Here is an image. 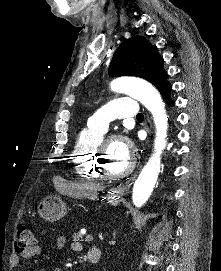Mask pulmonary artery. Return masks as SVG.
I'll return each mask as SVG.
<instances>
[{
	"instance_id": "pulmonary-artery-1",
	"label": "pulmonary artery",
	"mask_w": 221,
	"mask_h": 271,
	"mask_svg": "<svg viewBox=\"0 0 221 271\" xmlns=\"http://www.w3.org/2000/svg\"><path fill=\"white\" fill-rule=\"evenodd\" d=\"M133 98H114L108 102V107H101V112H96V117H91V122H86V127H109V122H119V117H138V108ZM104 128H81L79 138H99V133H105Z\"/></svg>"
}]
</instances>
